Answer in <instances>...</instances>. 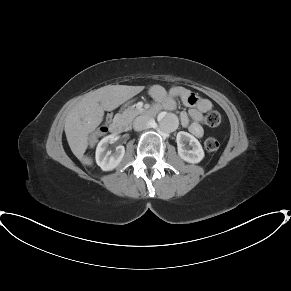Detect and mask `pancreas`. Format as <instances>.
<instances>
[{"mask_svg": "<svg viewBox=\"0 0 291 291\" xmlns=\"http://www.w3.org/2000/svg\"><path fill=\"white\" fill-rule=\"evenodd\" d=\"M143 111L135 108L134 106H130L127 109H125L121 114H119L120 118L124 122H132L133 119L138 116L139 114H142Z\"/></svg>", "mask_w": 291, "mask_h": 291, "instance_id": "obj_1", "label": "pancreas"}]
</instances>
